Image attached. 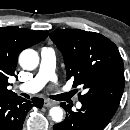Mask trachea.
Instances as JSON below:
<instances>
[{"instance_id": "1", "label": "trachea", "mask_w": 130, "mask_h": 130, "mask_svg": "<svg viewBox=\"0 0 130 130\" xmlns=\"http://www.w3.org/2000/svg\"><path fill=\"white\" fill-rule=\"evenodd\" d=\"M64 96H65L64 94H60V95L52 96L51 98L57 101H62L64 100Z\"/></svg>"}]
</instances>
